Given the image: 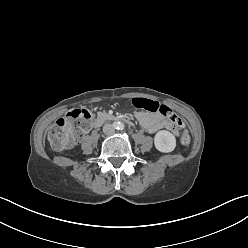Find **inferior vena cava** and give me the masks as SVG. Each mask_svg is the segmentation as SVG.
Segmentation results:
<instances>
[{
  "label": "inferior vena cava",
  "mask_w": 248,
  "mask_h": 248,
  "mask_svg": "<svg viewBox=\"0 0 248 248\" xmlns=\"http://www.w3.org/2000/svg\"><path fill=\"white\" fill-rule=\"evenodd\" d=\"M103 132L106 134V135H110V134H113L115 132V127L112 125V124H105L103 126Z\"/></svg>",
  "instance_id": "inferior-vena-cava-1"
}]
</instances>
